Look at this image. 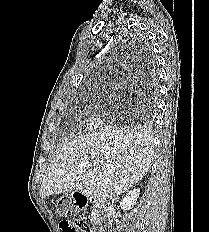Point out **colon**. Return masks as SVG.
<instances>
[{
	"label": "colon",
	"mask_w": 209,
	"mask_h": 232,
	"mask_svg": "<svg viewBox=\"0 0 209 232\" xmlns=\"http://www.w3.org/2000/svg\"><path fill=\"white\" fill-rule=\"evenodd\" d=\"M60 227L63 232H91L88 222L80 216L61 221Z\"/></svg>",
	"instance_id": "1"
}]
</instances>
